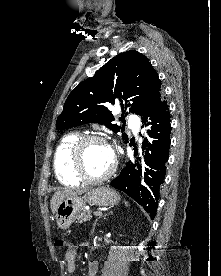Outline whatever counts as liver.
I'll list each match as a JSON object with an SVG mask.
<instances>
[{
  "instance_id": "1",
  "label": "liver",
  "mask_w": 221,
  "mask_h": 276,
  "mask_svg": "<svg viewBox=\"0 0 221 276\" xmlns=\"http://www.w3.org/2000/svg\"><path fill=\"white\" fill-rule=\"evenodd\" d=\"M88 191L89 189L83 188V189H64L62 191L55 192L51 199L52 213L56 212L58 205L64 199L72 196L81 195L82 193H86Z\"/></svg>"
}]
</instances>
